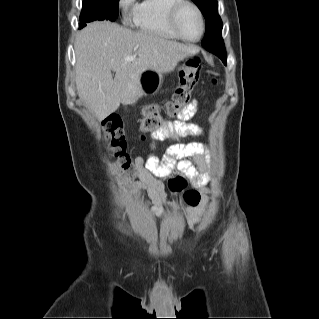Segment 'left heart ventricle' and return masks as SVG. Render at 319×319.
Listing matches in <instances>:
<instances>
[{"mask_svg":"<svg viewBox=\"0 0 319 319\" xmlns=\"http://www.w3.org/2000/svg\"><path fill=\"white\" fill-rule=\"evenodd\" d=\"M177 25L182 35L187 38H196L200 33V23L197 14L189 6L183 8L180 12Z\"/></svg>","mask_w":319,"mask_h":319,"instance_id":"1","label":"left heart ventricle"}]
</instances>
